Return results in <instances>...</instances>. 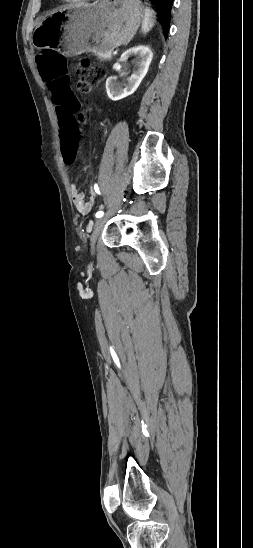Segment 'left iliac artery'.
Masks as SVG:
<instances>
[{
	"instance_id": "left-iliac-artery-1",
	"label": "left iliac artery",
	"mask_w": 253,
	"mask_h": 548,
	"mask_svg": "<svg viewBox=\"0 0 253 548\" xmlns=\"http://www.w3.org/2000/svg\"><path fill=\"white\" fill-rule=\"evenodd\" d=\"M95 189H96V192H97L98 194H100V191H99L97 185L95 186ZM103 215H104V212H103V211H98V212L96 213L95 216H96V218H100V217H102Z\"/></svg>"
}]
</instances>
